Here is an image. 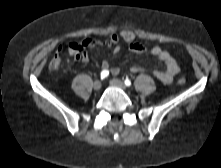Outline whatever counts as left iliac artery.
Masks as SVG:
<instances>
[{
  "label": "left iliac artery",
  "mask_w": 221,
  "mask_h": 168,
  "mask_svg": "<svg viewBox=\"0 0 221 168\" xmlns=\"http://www.w3.org/2000/svg\"><path fill=\"white\" fill-rule=\"evenodd\" d=\"M124 83L126 86H131V81L128 78L125 79Z\"/></svg>",
  "instance_id": "44dca946"
}]
</instances>
